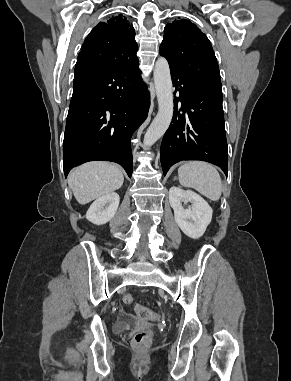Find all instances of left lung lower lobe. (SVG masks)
Wrapping results in <instances>:
<instances>
[{"label": "left lung lower lobe", "mask_w": 291, "mask_h": 381, "mask_svg": "<svg viewBox=\"0 0 291 381\" xmlns=\"http://www.w3.org/2000/svg\"><path fill=\"white\" fill-rule=\"evenodd\" d=\"M175 93L174 116L160 150L164 175L181 160H202L219 166L227 176L228 148L222 108V87L204 85L170 68ZM181 108L178 111V102Z\"/></svg>", "instance_id": "left-lung-lower-lobe-1"}]
</instances>
